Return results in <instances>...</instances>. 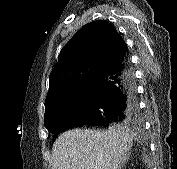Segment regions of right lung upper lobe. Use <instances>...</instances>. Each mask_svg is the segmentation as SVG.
Instances as JSON below:
<instances>
[{"instance_id":"cb5924a9","label":"right lung upper lobe","mask_w":177,"mask_h":169,"mask_svg":"<svg viewBox=\"0 0 177 169\" xmlns=\"http://www.w3.org/2000/svg\"><path fill=\"white\" fill-rule=\"evenodd\" d=\"M126 52L123 38L109 22L97 20L83 26L62 48L51 71L45 107L66 99Z\"/></svg>"}]
</instances>
